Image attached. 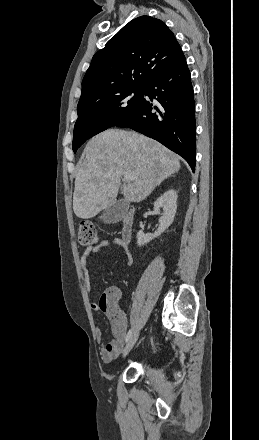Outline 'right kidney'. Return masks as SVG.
<instances>
[{"label":"right kidney","mask_w":259,"mask_h":440,"mask_svg":"<svg viewBox=\"0 0 259 440\" xmlns=\"http://www.w3.org/2000/svg\"><path fill=\"white\" fill-rule=\"evenodd\" d=\"M163 208V214L159 218V227L154 233L144 234L142 230L137 232V244L143 246L154 238L159 237L173 223L177 209V192L174 189L166 191L154 203V210Z\"/></svg>","instance_id":"ca27d5eb"}]
</instances>
